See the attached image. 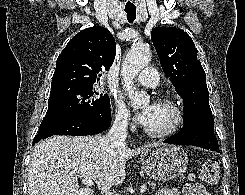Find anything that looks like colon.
<instances>
[{"label": "colon", "mask_w": 245, "mask_h": 195, "mask_svg": "<svg viewBox=\"0 0 245 195\" xmlns=\"http://www.w3.org/2000/svg\"><path fill=\"white\" fill-rule=\"evenodd\" d=\"M197 176L204 182L215 185L219 182V162L215 158L207 159L204 164L197 170ZM199 184L187 185L183 192L184 195H197Z\"/></svg>", "instance_id": "obj_1"}]
</instances>
